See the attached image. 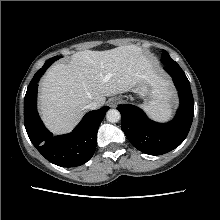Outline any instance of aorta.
Wrapping results in <instances>:
<instances>
[{"instance_id": "obj_1", "label": "aorta", "mask_w": 220, "mask_h": 220, "mask_svg": "<svg viewBox=\"0 0 220 220\" xmlns=\"http://www.w3.org/2000/svg\"><path fill=\"white\" fill-rule=\"evenodd\" d=\"M120 118H121L120 112L116 109H110L106 113V119H107V121H109L111 123L118 122L120 120Z\"/></svg>"}]
</instances>
